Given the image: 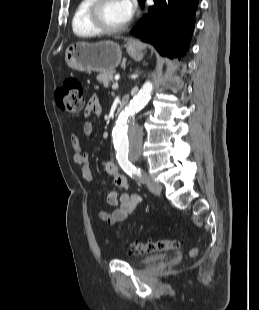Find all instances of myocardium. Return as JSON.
Segmentation results:
<instances>
[{"mask_svg": "<svg viewBox=\"0 0 259 310\" xmlns=\"http://www.w3.org/2000/svg\"><path fill=\"white\" fill-rule=\"evenodd\" d=\"M107 1L108 0H93V2L91 3L88 9V14H87L88 22L97 33H100V34L120 33L124 31L125 29H127V27L129 26V21H127L126 23H124L123 25L119 27L106 26L102 22V19H101V10Z\"/></svg>", "mask_w": 259, "mask_h": 310, "instance_id": "f54148a6", "label": "myocardium"}]
</instances>
